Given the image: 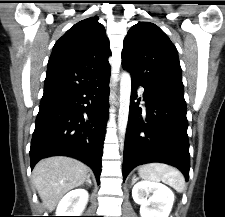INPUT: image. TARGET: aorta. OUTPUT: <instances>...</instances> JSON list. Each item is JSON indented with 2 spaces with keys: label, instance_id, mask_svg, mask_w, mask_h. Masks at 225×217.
<instances>
[{
  "label": "aorta",
  "instance_id": "1",
  "mask_svg": "<svg viewBox=\"0 0 225 217\" xmlns=\"http://www.w3.org/2000/svg\"><path fill=\"white\" fill-rule=\"evenodd\" d=\"M130 95L131 76L128 72H124L121 76L120 81V108L118 114V130L119 136L121 138L124 137L126 133L129 115Z\"/></svg>",
  "mask_w": 225,
  "mask_h": 217
}]
</instances>
